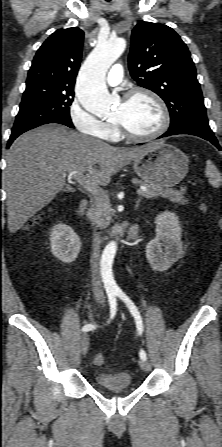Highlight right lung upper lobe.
Here are the masks:
<instances>
[{
	"label": "right lung upper lobe",
	"instance_id": "cb5924a9",
	"mask_svg": "<svg viewBox=\"0 0 222 447\" xmlns=\"http://www.w3.org/2000/svg\"><path fill=\"white\" fill-rule=\"evenodd\" d=\"M84 33L72 27L56 30L38 49L29 69L26 88H74L80 67Z\"/></svg>",
	"mask_w": 222,
	"mask_h": 447
}]
</instances>
